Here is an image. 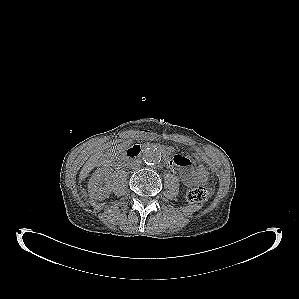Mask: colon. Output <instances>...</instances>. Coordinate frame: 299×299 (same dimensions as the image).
Here are the masks:
<instances>
[{
    "label": "colon",
    "instance_id": "1",
    "mask_svg": "<svg viewBox=\"0 0 299 299\" xmlns=\"http://www.w3.org/2000/svg\"><path fill=\"white\" fill-rule=\"evenodd\" d=\"M193 176L196 183H205L209 173L203 165H196L193 169ZM209 192L204 186H197L187 191L186 198L190 203H203L208 199Z\"/></svg>",
    "mask_w": 299,
    "mask_h": 299
}]
</instances>
